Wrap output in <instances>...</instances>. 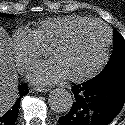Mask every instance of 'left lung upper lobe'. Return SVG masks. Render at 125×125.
I'll list each match as a JSON object with an SVG mask.
<instances>
[{"label":"left lung upper lobe","instance_id":"5c2ea615","mask_svg":"<svg viewBox=\"0 0 125 125\" xmlns=\"http://www.w3.org/2000/svg\"><path fill=\"white\" fill-rule=\"evenodd\" d=\"M121 70H125V40L119 32L114 31L112 55L105 68L92 81H98Z\"/></svg>","mask_w":125,"mask_h":125}]
</instances>
